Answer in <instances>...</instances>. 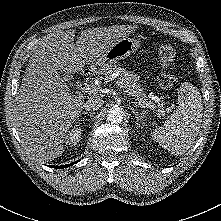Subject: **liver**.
<instances>
[{
  "label": "liver",
  "mask_w": 221,
  "mask_h": 221,
  "mask_svg": "<svg viewBox=\"0 0 221 221\" xmlns=\"http://www.w3.org/2000/svg\"><path fill=\"white\" fill-rule=\"evenodd\" d=\"M136 26L89 28L76 44L75 30L47 36L32 54L14 106V123L32 156L51 161L63 152L65 136L84 105L82 94H73L60 72L76 73L92 64Z\"/></svg>",
  "instance_id": "obj_1"
}]
</instances>
